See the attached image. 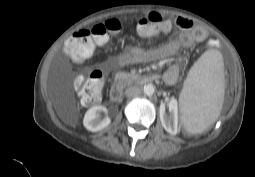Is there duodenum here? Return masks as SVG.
<instances>
[{
    "instance_id": "1",
    "label": "duodenum",
    "mask_w": 255,
    "mask_h": 177,
    "mask_svg": "<svg viewBox=\"0 0 255 177\" xmlns=\"http://www.w3.org/2000/svg\"><path fill=\"white\" fill-rule=\"evenodd\" d=\"M159 79L157 74H145L137 78V82L140 84L154 83ZM110 98L114 102H119L122 98V87L119 84H114L110 90Z\"/></svg>"
}]
</instances>
